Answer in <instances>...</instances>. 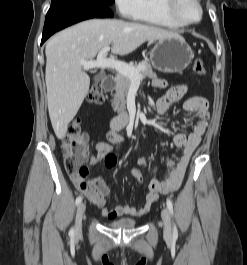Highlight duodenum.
<instances>
[{
	"label": "duodenum",
	"instance_id": "1",
	"mask_svg": "<svg viewBox=\"0 0 247 265\" xmlns=\"http://www.w3.org/2000/svg\"><path fill=\"white\" fill-rule=\"evenodd\" d=\"M115 77L113 75H106L102 81V87L105 90H111L115 85ZM128 124V120L123 115L115 116L111 119L110 126L113 130H122Z\"/></svg>",
	"mask_w": 247,
	"mask_h": 265
}]
</instances>
